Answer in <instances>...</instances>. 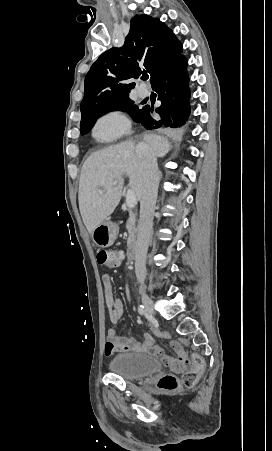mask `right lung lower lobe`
<instances>
[{
  "mask_svg": "<svg viewBox=\"0 0 272 451\" xmlns=\"http://www.w3.org/2000/svg\"><path fill=\"white\" fill-rule=\"evenodd\" d=\"M186 66L187 59L180 54L163 67L151 83L158 93V100L161 101V106L156 109L161 119H153L149 114L150 109L144 107V112L137 122L146 129H183L187 124L190 115V90Z\"/></svg>",
  "mask_w": 272,
  "mask_h": 451,
  "instance_id": "98d812e1",
  "label": "right lung lower lobe"
}]
</instances>
